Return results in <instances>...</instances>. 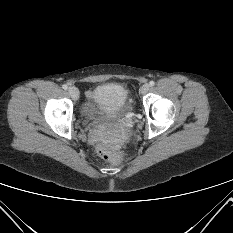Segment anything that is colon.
<instances>
[{"mask_svg":"<svg viewBox=\"0 0 233 233\" xmlns=\"http://www.w3.org/2000/svg\"><path fill=\"white\" fill-rule=\"evenodd\" d=\"M100 156L107 161H112L115 159V156L106 149H100Z\"/></svg>","mask_w":233,"mask_h":233,"instance_id":"5ec220e1","label":"colon"}]
</instances>
